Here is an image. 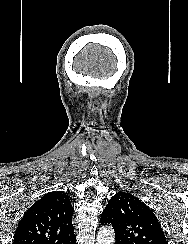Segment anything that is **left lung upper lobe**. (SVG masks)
Masks as SVG:
<instances>
[{"label": "left lung upper lobe", "instance_id": "obj_1", "mask_svg": "<svg viewBox=\"0 0 188 244\" xmlns=\"http://www.w3.org/2000/svg\"><path fill=\"white\" fill-rule=\"evenodd\" d=\"M100 221L112 224L116 244H167L155 214L131 194H115L102 212Z\"/></svg>", "mask_w": 188, "mask_h": 244}]
</instances>
